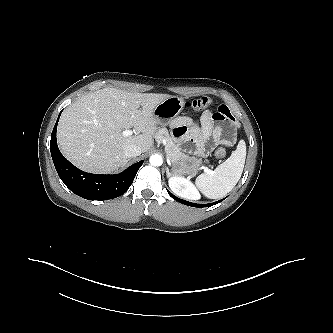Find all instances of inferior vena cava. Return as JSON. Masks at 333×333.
Segmentation results:
<instances>
[{
  "instance_id": "1",
  "label": "inferior vena cava",
  "mask_w": 333,
  "mask_h": 333,
  "mask_svg": "<svg viewBox=\"0 0 333 333\" xmlns=\"http://www.w3.org/2000/svg\"><path fill=\"white\" fill-rule=\"evenodd\" d=\"M142 149L137 145H128L124 148V155L128 158L139 156Z\"/></svg>"
}]
</instances>
